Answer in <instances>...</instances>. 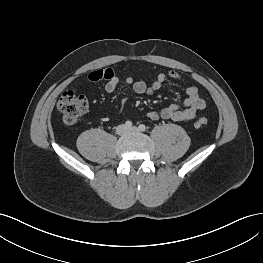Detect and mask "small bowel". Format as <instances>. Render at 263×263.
<instances>
[{"instance_id": "c3829d8e", "label": "small bowel", "mask_w": 263, "mask_h": 263, "mask_svg": "<svg viewBox=\"0 0 263 263\" xmlns=\"http://www.w3.org/2000/svg\"><path fill=\"white\" fill-rule=\"evenodd\" d=\"M168 79L182 80V76L176 71L159 73L151 84L141 80H134L131 77H119L113 69L94 70L87 75V83H95L105 80V91L114 92L117 88L130 87L136 94H153L157 92ZM187 98L182 104H173L160 111H149L146 117L150 120L169 119L176 122H189L205 108V101L200 97L199 91L195 86L186 89ZM126 102L122 101L118 107V112L124 110Z\"/></svg>"}]
</instances>
